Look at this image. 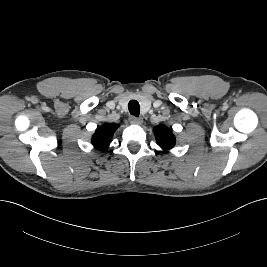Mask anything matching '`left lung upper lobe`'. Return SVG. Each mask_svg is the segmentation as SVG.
Returning <instances> with one entry per match:
<instances>
[{
	"instance_id": "5c2ea615",
	"label": "left lung upper lobe",
	"mask_w": 267,
	"mask_h": 267,
	"mask_svg": "<svg viewBox=\"0 0 267 267\" xmlns=\"http://www.w3.org/2000/svg\"><path fill=\"white\" fill-rule=\"evenodd\" d=\"M157 144L163 150H169L175 145V136L172 130L164 125L157 126L153 129Z\"/></svg>"
}]
</instances>
